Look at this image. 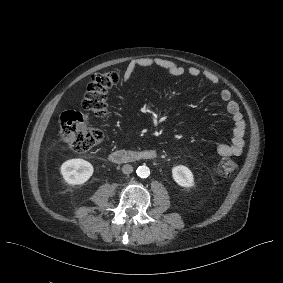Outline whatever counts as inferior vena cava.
<instances>
[{"label": "inferior vena cava", "instance_id": "obj_1", "mask_svg": "<svg viewBox=\"0 0 283 283\" xmlns=\"http://www.w3.org/2000/svg\"><path fill=\"white\" fill-rule=\"evenodd\" d=\"M121 171L123 174H131L133 172V167L131 165L126 164L122 166Z\"/></svg>", "mask_w": 283, "mask_h": 283}]
</instances>
